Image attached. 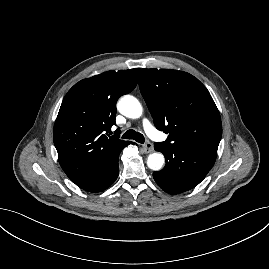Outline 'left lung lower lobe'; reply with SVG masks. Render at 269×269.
<instances>
[{
	"mask_svg": "<svg viewBox=\"0 0 269 269\" xmlns=\"http://www.w3.org/2000/svg\"><path fill=\"white\" fill-rule=\"evenodd\" d=\"M163 153L165 167L153 173L156 183L167 193L178 194L198 185L213 167L217 151L192 146H171L155 143Z\"/></svg>",
	"mask_w": 269,
	"mask_h": 269,
	"instance_id": "left-lung-lower-lobe-1",
	"label": "left lung lower lobe"
}]
</instances>
